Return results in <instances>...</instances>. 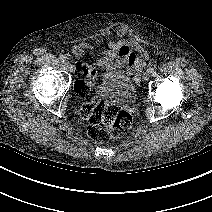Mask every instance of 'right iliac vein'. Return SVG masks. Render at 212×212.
Listing matches in <instances>:
<instances>
[{
	"label": "right iliac vein",
	"instance_id": "63e3f726",
	"mask_svg": "<svg viewBox=\"0 0 212 212\" xmlns=\"http://www.w3.org/2000/svg\"><path fill=\"white\" fill-rule=\"evenodd\" d=\"M64 66L66 69H70L71 68V64L69 63V61H65L64 62Z\"/></svg>",
	"mask_w": 212,
	"mask_h": 212
}]
</instances>
